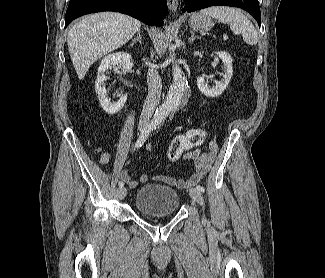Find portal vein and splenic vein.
<instances>
[{
	"label": "portal vein and splenic vein",
	"instance_id": "1",
	"mask_svg": "<svg viewBox=\"0 0 325 278\" xmlns=\"http://www.w3.org/2000/svg\"><path fill=\"white\" fill-rule=\"evenodd\" d=\"M224 39L226 40L227 39V36H224Z\"/></svg>",
	"mask_w": 325,
	"mask_h": 278
}]
</instances>
